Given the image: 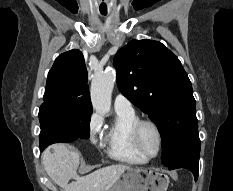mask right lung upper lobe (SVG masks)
<instances>
[{
	"label": "right lung upper lobe",
	"mask_w": 233,
	"mask_h": 191,
	"mask_svg": "<svg viewBox=\"0 0 233 191\" xmlns=\"http://www.w3.org/2000/svg\"><path fill=\"white\" fill-rule=\"evenodd\" d=\"M83 54L73 49L62 53L48 73L43 104L92 110Z\"/></svg>",
	"instance_id": "1"
}]
</instances>
